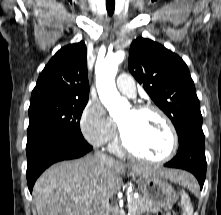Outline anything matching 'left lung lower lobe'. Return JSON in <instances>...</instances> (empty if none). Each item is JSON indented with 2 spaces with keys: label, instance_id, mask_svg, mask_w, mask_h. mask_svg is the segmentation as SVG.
Listing matches in <instances>:
<instances>
[{
  "label": "left lung lower lobe",
  "instance_id": "1",
  "mask_svg": "<svg viewBox=\"0 0 221 215\" xmlns=\"http://www.w3.org/2000/svg\"><path fill=\"white\" fill-rule=\"evenodd\" d=\"M184 169L195 175L202 189L206 177L205 136L203 133H190L179 142L175 158L164 165Z\"/></svg>",
  "mask_w": 221,
  "mask_h": 215
}]
</instances>
